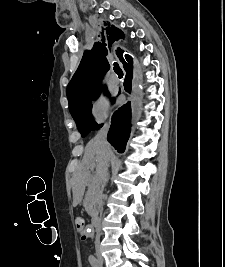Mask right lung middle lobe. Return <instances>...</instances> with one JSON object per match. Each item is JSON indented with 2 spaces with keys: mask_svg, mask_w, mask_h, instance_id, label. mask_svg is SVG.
I'll return each mask as SVG.
<instances>
[{
  "mask_svg": "<svg viewBox=\"0 0 225 267\" xmlns=\"http://www.w3.org/2000/svg\"><path fill=\"white\" fill-rule=\"evenodd\" d=\"M100 86L90 89L80 100L69 105L70 113L74 118L77 128L82 137L87 136L91 131L99 129L91 114L92 100L99 97Z\"/></svg>",
  "mask_w": 225,
  "mask_h": 267,
  "instance_id": "right-lung-middle-lobe-1",
  "label": "right lung middle lobe"
}]
</instances>
